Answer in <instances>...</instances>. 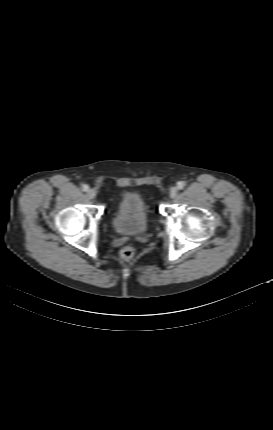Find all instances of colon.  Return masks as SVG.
Returning a JSON list of instances; mask_svg holds the SVG:
<instances>
[{"instance_id": "obj_1", "label": "colon", "mask_w": 273, "mask_h": 430, "mask_svg": "<svg viewBox=\"0 0 273 430\" xmlns=\"http://www.w3.org/2000/svg\"><path fill=\"white\" fill-rule=\"evenodd\" d=\"M135 250L131 245L123 246L120 250V257L123 260H131L134 256Z\"/></svg>"}]
</instances>
